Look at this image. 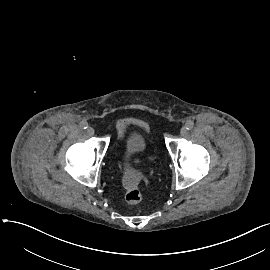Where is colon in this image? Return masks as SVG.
Returning a JSON list of instances; mask_svg holds the SVG:
<instances>
[{
    "label": "colon",
    "instance_id": "1",
    "mask_svg": "<svg viewBox=\"0 0 270 270\" xmlns=\"http://www.w3.org/2000/svg\"><path fill=\"white\" fill-rule=\"evenodd\" d=\"M136 143L141 144V140L136 138ZM137 177V176H136ZM123 185L125 188L124 199L129 204H138L142 199L141 190L134 178L124 177Z\"/></svg>",
    "mask_w": 270,
    "mask_h": 270
}]
</instances>
